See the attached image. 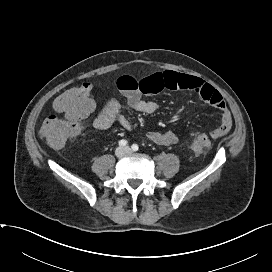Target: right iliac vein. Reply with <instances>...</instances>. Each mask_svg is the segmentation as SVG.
Here are the masks:
<instances>
[{
	"instance_id": "1",
	"label": "right iliac vein",
	"mask_w": 272,
	"mask_h": 272,
	"mask_svg": "<svg viewBox=\"0 0 272 272\" xmlns=\"http://www.w3.org/2000/svg\"><path fill=\"white\" fill-rule=\"evenodd\" d=\"M125 153H126V151H125V148H123V147H118V148L116 149V151H115V155H116V157H118V158L123 157Z\"/></svg>"
}]
</instances>
